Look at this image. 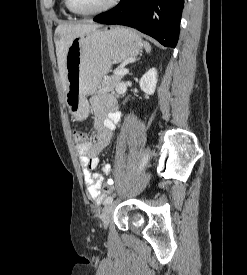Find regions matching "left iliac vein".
I'll return each mask as SVG.
<instances>
[{
	"mask_svg": "<svg viewBox=\"0 0 247 275\" xmlns=\"http://www.w3.org/2000/svg\"><path fill=\"white\" fill-rule=\"evenodd\" d=\"M149 178H150V175L146 174L142 178V180L140 181L139 185L137 186V188L135 189L134 192L137 193V192L141 191L148 183ZM113 212H114V204L113 203L106 204L105 207L103 208L101 220H102V224H103L104 228H107V226L112 218Z\"/></svg>",
	"mask_w": 247,
	"mask_h": 275,
	"instance_id": "left-iliac-vein-1",
	"label": "left iliac vein"
}]
</instances>
